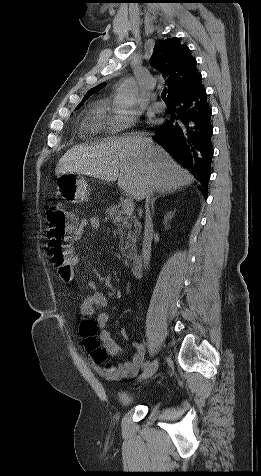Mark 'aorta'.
I'll list each match as a JSON object with an SVG mask.
<instances>
[{"label":"aorta","instance_id":"obj_1","mask_svg":"<svg viewBox=\"0 0 261 476\" xmlns=\"http://www.w3.org/2000/svg\"><path fill=\"white\" fill-rule=\"evenodd\" d=\"M135 101V89L131 84H125L117 93L115 103L122 109H129Z\"/></svg>","mask_w":261,"mask_h":476}]
</instances>
